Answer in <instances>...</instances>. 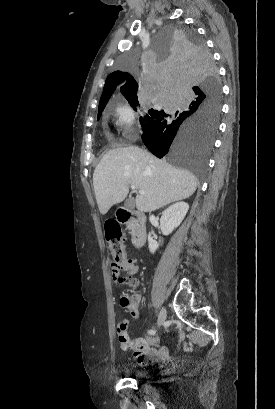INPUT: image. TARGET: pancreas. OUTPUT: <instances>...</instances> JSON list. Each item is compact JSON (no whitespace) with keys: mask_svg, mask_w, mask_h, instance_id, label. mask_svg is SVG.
Here are the masks:
<instances>
[{"mask_svg":"<svg viewBox=\"0 0 275 409\" xmlns=\"http://www.w3.org/2000/svg\"><path fill=\"white\" fill-rule=\"evenodd\" d=\"M127 229H129L130 235H133V233H134V225H133V223H127Z\"/></svg>","mask_w":275,"mask_h":409,"instance_id":"obj_1","label":"pancreas"}]
</instances>
